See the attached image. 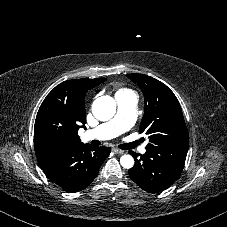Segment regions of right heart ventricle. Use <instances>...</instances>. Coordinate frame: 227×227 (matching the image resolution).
Masks as SVG:
<instances>
[{"label": "right heart ventricle", "mask_w": 227, "mask_h": 227, "mask_svg": "<svg viewBox=\"0 0 227 227\" xmlns=\"http://www.w3.org/2000/svg\"><path fill=\"white\" fill-rule=\"evenodd\" d=\"M114 91H115L116 100L121 99L126 96L135 95V92L132 89H130L122 84L114 85Z\"/></svg>", "instance_id": "1"}]
</instances>
